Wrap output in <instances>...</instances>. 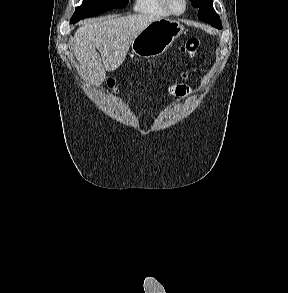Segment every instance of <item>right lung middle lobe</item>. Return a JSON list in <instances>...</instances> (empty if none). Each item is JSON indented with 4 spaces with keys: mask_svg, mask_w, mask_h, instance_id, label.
Returning <instances> with one entry per match:
<instances>
[{
    "mask_svg": "<svg viewBox=\"0 0 288 293\" xmlns=\"http://www.w3.org/2000/svg\"><path fill=\"white\" fill-rule=\"evenodd\" d=\"M128 0H83V4L75 9L70 22L76 23L81 19L97 16L108 10L125 7Z\"/></svg>",
    "mask_w": 288,
    "mask_h": 293,
    "instance_id": "dd1d6c3e",
    "label": "right lung middle lobe"
}]
</instances>
